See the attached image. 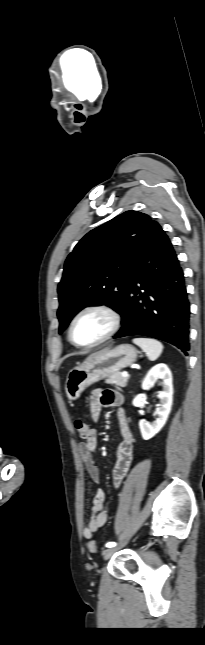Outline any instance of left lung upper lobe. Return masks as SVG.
<instances>
[{"instance_id":"1","label":"left lung upper lobe","mask_w":205,"mask_h":645,"mask_svg":"<svg viewBox=\"0 0 205 645\" xmlns=\"http://www.w3.org/2000/svg\"><path fill=\"white\" fill-rule=\"evenodd\" d=\"M151 218L127 211L86 234L64 265L58 285L59 333L84 307L104 304L120 314L130 267Z\"/></svg>"}]
</instances>
